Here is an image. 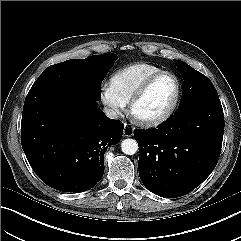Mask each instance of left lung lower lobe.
<instances>
[{
	"label": "left lung lower lobe",
	"instance_id": "left-lung-lower-lobe-1",
	"mask_svg": "<svg viewBox=\"0 0 241 241\" xmlns=\"http://www.w3.org/2000/svg\"><path fill=\"white\" fill-rule=\"evenodd\" d=\"M223 133V109L213 103L191 104L157 128L135 129L141 181L161 197L188 194L215 168Z\"/></svg>",
	"mask_w": 241,
	"mask_h": 241
}]
</instances>
